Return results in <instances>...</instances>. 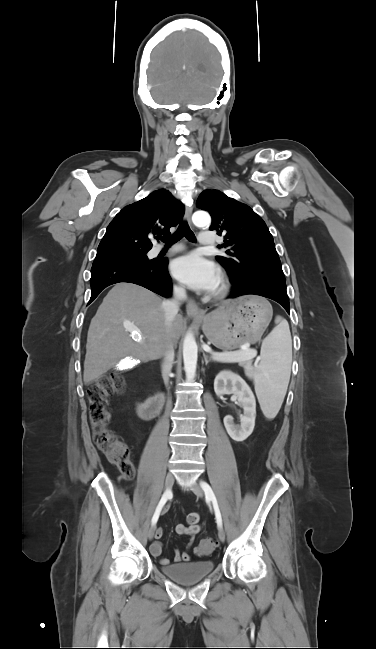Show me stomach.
<instances>
[{"label":"stomach","instance_id":"1","mask_svg":"<svg viewBox=\"0 0 376 649\" xmlns=\"http://www.w3.org/2000/svg\"><path fill=\"white\" fill-rule=\"evenodd\" d=\"M272 317L270 303L260 297L245 296L225 302L202 318V329L212 344L222 350H234L255 343Z\"/></svg>","mask_w":376,"mask_h":649}]
</instances>
